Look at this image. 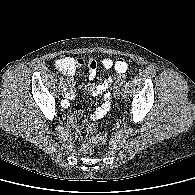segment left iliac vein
<instances>
[{
    "mask_svg": "<svg viewBox=\"0 0 195 195\" xmlns=\"http://www.w3.org/2000/svg\"><path fill=\"white\" fill-rule=\"evenodd\" d=\"M122 97L126 98L128 95V88L126 86H123L121 91Z\"/></svg>",
    "mask_w": 195,
    "mask_h": 195,
    "instance_id": "4c4485c4",
    "label": "left iliac vein"
}]
</instances>
